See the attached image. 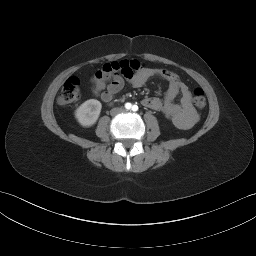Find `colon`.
Masks as SVG:
<instances>
[{
  "instance_id": "1",
  "label": "colon",
  "mask_w": 256,
  "mask_h": 256,
  "mask_svg": "<svg viewBox=\"0 0 256 256\" xmlns=\"http://www.w3.org/2000/svg\"><path fill=\"white\" fill-rule=\"evenodd\" d=\"M144 69V65L138 61H120L105 64L93 76V83L99 84L116 76L125 78L132 77L135 73ZM80 97V82L76 77L68 78L59 93L58 102L60 104H70L76 102ZM193 104L197 109L206 106V97L202 90L196 89L193 96Z\"/></svg>"
}]
</instances>
